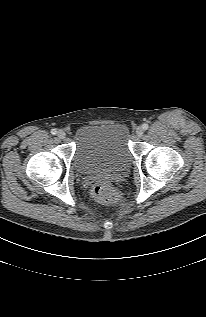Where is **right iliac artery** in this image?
Segmentation results:
<instances>
[{
	"instance_id": "1",
	"label": "right iliac artery",
	"mask_w": 206,
	"mask_h": 317,
	"mask_svg": "<svg viewBox=\"0 0 206 317\" xmlns=\"http://www.w3.org/2000/svg\"><path fill=\"white\" fill-rule=\"evenodd\" d=\"M51 134L56 135L57 134V130L56 129H52L51 130Z\"/></svg>"
}]
</instances>
